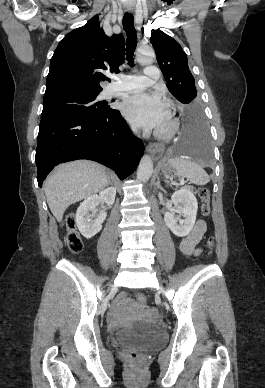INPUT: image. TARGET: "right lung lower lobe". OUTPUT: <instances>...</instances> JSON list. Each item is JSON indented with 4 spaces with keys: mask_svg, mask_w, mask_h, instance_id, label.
I'll return each instance as SVG.
<instances>
[{
    "mask_svg": "<svg viewBox=\"0 0 265 388\" xmlns=\"http://www.w3.org/2000/svg\"><path fill=\"white\" fill-rule=\"evenodd\" d=\"M143 151V142L132 134L118 110L42 119L35 156L38 185L57 164L76 159L100 162L124 179L137 167Z\"/></svg>",
    "mask_w": 265,
    "mask_h": 388,
    "instance_id": "98d812e1",
    "label": "right lung lower lobe"
}]
</instances>
